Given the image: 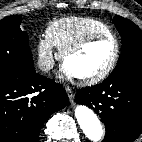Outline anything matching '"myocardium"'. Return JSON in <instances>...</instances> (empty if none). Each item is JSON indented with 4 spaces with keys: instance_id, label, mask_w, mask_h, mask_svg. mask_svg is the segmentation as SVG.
Segmentation results:
<instances>
[{
    "instance_id": "1",
    "label": "myocardium",
    "mask_w": 142,
    "mask_h": 142,
    "mask_svg": "<svg viewBox=\"0 0 142 142\" xmlns=\"http://www.w3.org/2000/svg\"><path fill=\"white\" fill-rule=\"evenodd\" d=\"M104 39H109V40L113 41V43L115 45L114 56H113L111 62L108 64V66L105 69H103L101 72H99L95 75L88 76V77H77V76L71 75L70 73H68L66 71L65 62L70 56L82 51L91 43L98 41V40H104ZM120 53H121L120 43H119L118 39L113 34L89 35V36L81 39L80 41L76 42L75 44L71 45L70 47H68L66 50H64L61 53V66H62L63 70L71 78H73L74 80H76L80 84H82V85H94V84L101 82L102 80L107 78L112 73V71L115 69V67L118 63Z\"/></svg>"
}]
</instances>
